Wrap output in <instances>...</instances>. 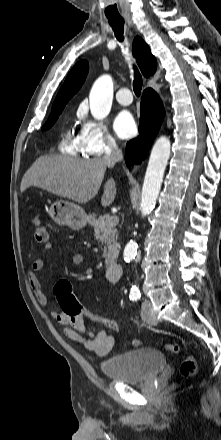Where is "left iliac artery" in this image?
<instances>
[{"instance_id":"1","label":"left iliac artery","mask_w":221,"mask_h":440,"mask_svg":"<svg viewBox=\"0 0 221 440\" xmlns=\"http://www.w3.org/2000/svg\"><path fill=\"white\" fill-rule=\"evenodd\" d=\"M140 296H141L140 294H138V295H136V296L133 295V296H132V299H133V300H137V299L140 298Z\"/></svg>"}]
</instances>
